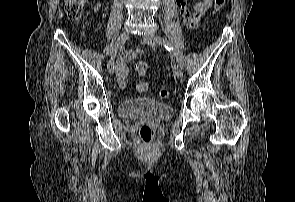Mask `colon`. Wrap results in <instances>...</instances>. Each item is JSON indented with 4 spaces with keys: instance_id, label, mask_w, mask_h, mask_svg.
<instances>
[{
    "instance_id": "1",
    "label": "colon",
    "mask_w": 295,
    "mask_h": 202,
    "mask_svg": "<svg viewBox=\"0 0 295 202\" xmlns=\"http://www.w3.org/2000/svg\"><path fill=\"white\" fill-rule=\"evenodd\" d=\"M227 0H214L213 11L220 12ZM86 0H66L65 1V12L67 17L71 21H78L83 12ZM148 66L145 62H137L135 64L136 73L143 75L147 72ZM148 89V83L140 82L137 85V90L140 92H145ZM159 96L162 98H167L169 96V91L165 88L159 91ZM139 135L144 142H150L154 138V130L148 124H143L139 129Z\"/></svg>"
}]
</instances>
